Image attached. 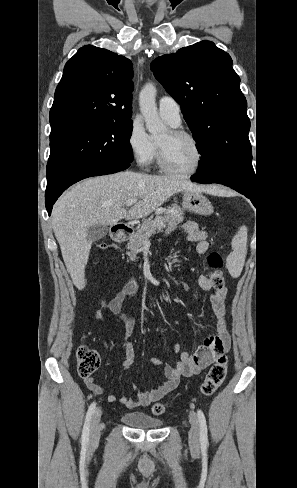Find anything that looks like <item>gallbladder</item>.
<instances>
[{"mask_svg":"<svg viewBox=\"0 0 297 488\" xmlns=\"http://www.w3.org/2000/svg\"><path fill=\"white\" fill-rule=\"evenodd\" d=\"M108 227L101 224H94L88 228L87 238L92 241H97L106 236Z\"/></svg>","mask_w":297,"mask_h":488,"instance_id":"gallbladder-1","label":"gallbladder"}]
</instances>
